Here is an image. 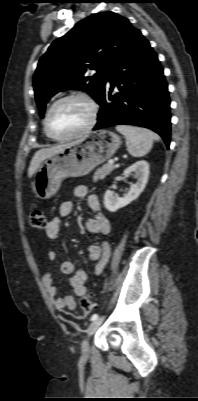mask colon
<instances>
[{"label": "colon", "mask_w": 198, "mask_h": 401, "mask_svg": "<svg viewBox=\"0 0 198 401\" xmlns=\"http://www.w3.org/2000/svg\"><path fill=\"white\" fill-rule=\"evenodd\" d=\"M29 224L31 227L36 228V229L46 228L47 223H46V217H45L44 213L39 209L32 210L29 215ZM80 304H81V308H82L84 316H87L94 307V304L89 295L82 297Z\"/></svg>", "instance_id": "1"}]
</instances>
